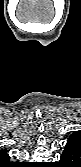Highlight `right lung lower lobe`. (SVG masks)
<instances>
[{"instance_id": "right-lung-lower-lobe-1", "label": "right lung lower lobe", "mask_w": 81, "mask_h": 167, "mask_svg": "<svg viewBox=\"0 0 81 167\" xmlns=\"http://www.w3.org/2000/svg\"><path fill=\"white\" fill-rule=\"evenodd\" d=\"M7 167H17V166H20L19 164L17 163H9L8 165H6Z\"/></svg>"}]
</instances>
